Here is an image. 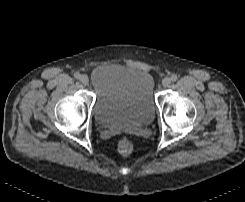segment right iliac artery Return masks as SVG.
Here are the masks:
<instances>
[{"label": "right iliac artery", "mask_w": 245, "mask_h": 202, "mask_svg": "<svg viewBox=\"0 0 245 202\" xmlns=\"http://www.w3.org/2000/svg\"><path fill=\"white\" fill-rule=\"evenodd\" d=\"M74 77H75L76 79H79V78L81 77V74H80L79 72H76V73L74 74Z\"/></svg>", "instance_id": "82829eb1"}]
</instances>
